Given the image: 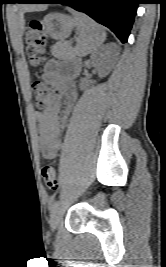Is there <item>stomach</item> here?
I'll list each match as a JSON object with an SVG mask.
<instances>
[{"mask_svg": "<svg viewBox=\"0 0 166 267\" xmlns=\"http://www.w3.org/2000/svg\"><path fill=\"white\" fill-rule=\"evenodd\" d=\"M76 24L75 18L63 13H50L42 21L45 33L55 40H64L69 37Z\"/></svg>", "mask_w": 166, "mask_h": 267, "instance_id": "stomach-1", "label": "stomach"}]
</instances>
